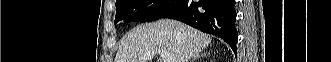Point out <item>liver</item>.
<instances>
[{
	"label": "liver",
	"mask_w": 331,
	"mask_h": 62,
	"mask_svg": "<svg viewBox=\"0 0 331 62\" xmlns=\"http://www.w3.org/2000/svg\"><path fill=\"white\" fill-rule=\"evenodd\" d=\"M211 36L175 20L141 24L126 36L114 62H146L141 57L156 49H165L174 62L188 60L211 45Z\"/></svg>",
	"instance_id": "1"
}]
</instances>
